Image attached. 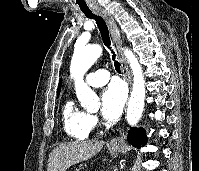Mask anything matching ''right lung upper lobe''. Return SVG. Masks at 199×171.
I'll return each instance as SVG.
<instances>
[{"label": "right lung upper lobe", "mask_w": 199, "mask_h": 171, "mask_svg": "<svg viewBox=\"0 0 199 171\" xmlns=\"http://www.w3.org/2000/svg\"><path fill=\"white\" fill-rule=\"evenodd\" d=\"M61 84H62V81L60 80L59 85H58V95L60 94Z\"/></svg>", "instance_id": "cb5924a9"}]
</instances>
